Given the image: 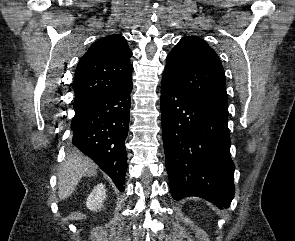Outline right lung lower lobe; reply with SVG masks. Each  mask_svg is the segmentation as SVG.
<instances>
[{
  "label": "right lung lower lobe",
  "instance_id": "obj_1",
  "mask_svg": "<svg viewBox=\"0 0 295 241\" xmlns=\"http://www.w3.org/2000/svg\"><path fill=\"white\" fill-rule=\"evenodd\" d=\"M132 82L74 102L73 144L107 173L124 191Z\"/></svg>",
  "mask_w": 295,
  "mask_h": 241
}]
</instances>
